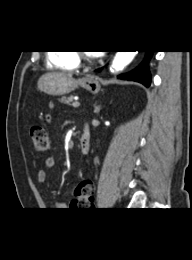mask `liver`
I'll list each match as a JSON object with an SVG mask.
<instances>
[{
    "label": "liver",
    "mask_w": 192,
    "mask_h": 260,
    "mask_svg": "<svg viewBox=\"0 0 192 260\" xmlns=\"http://www.w3.org/2000/svg\"><path fill=\"white\" fill-rule=\"evenodd\" d=\"M61 75H66V76H69V77H72L71 74H67V73H60Z\"/></svg>",
    "instance_id": "6515ba94"
}]
</instances>
